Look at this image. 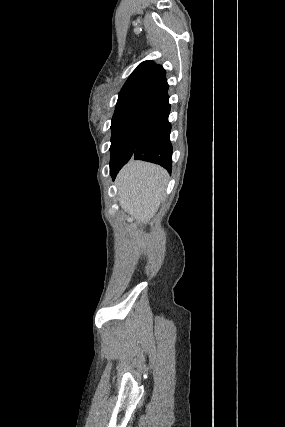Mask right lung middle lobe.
Instances as JSON below:
<instances>
[{
    "label": "right lung middle lobe",
    "mask_w": 285,
    "mask_h": 427,
    "mask_svg": "<svg viewBox=\"0 0 285 427\" xmlns=\"http://www.w3.org/2000/svg\"><path fill=\"white\" fill-rule=\"evenodd\" d=\"M146 114H136L112 121L110 170L126 164L141 145V131Z\"/></svg>",
    "instance_id": "right-lung-middle-lobe-1"
}]
</instances>
